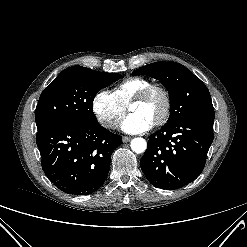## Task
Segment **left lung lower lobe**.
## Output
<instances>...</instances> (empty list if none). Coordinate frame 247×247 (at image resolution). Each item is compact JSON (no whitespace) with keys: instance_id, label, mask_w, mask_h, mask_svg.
Segmentation results:
<instances>
[{"instance_id":"0a47b994","label":"left lung lower lobe","mask_w":247,"mask_h":247,"mask_svg":"<svg viewBox=\"0 0 247 247\" xmlns=\"http://www.w3.org/2000/svg\"><path fill=\"white\" fill-rule=\"evenodd\" d=\"M149 138L140 161L144 175L156 188L178 189L202 173L213 141V122L184 118Z\"/></svg>"}]
</instances>
